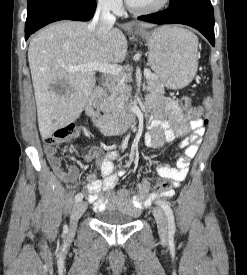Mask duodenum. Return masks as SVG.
Masks as SVG:
<instances>
[{
  "instance_id": "obj_1",
  "label": "duodenum",
  "mask_w": 247,
  "mask_h": 275,
  "mask_svg": "<svg viewBox=\"0 0 247 275\" xmlns=\"http://www.w3.org/2000/svg\"><path fill=\"white\" fill-rule=\"evenodd\" d=\"M104 91L99 89L89 98L86 105L87 116L107 135L125 132L139 118V110H129L123 117H116L102 110Z\"/></svg>"
}]
</instances>
